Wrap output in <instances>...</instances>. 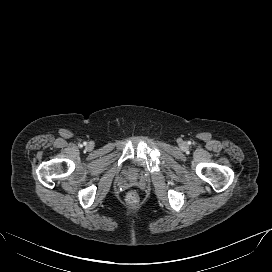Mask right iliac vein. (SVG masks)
<instances>
[{"label": "right iliac vein", "mask_w": 272, "mask_h": 272, "mask_svg": "<svg viewBox=\"0 0 272 272\" xmlns=\"http://www.w3.org/2000/svg\"><path fill=\"white\" fill-rule=\"evenodd\" d=\"M87 147H88V148H91V145H88Z\"/></svg>", "instance_id": "obj_1"}]
</instances>
